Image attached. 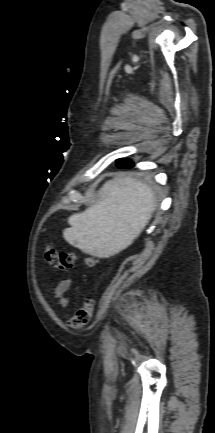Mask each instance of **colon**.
<instances>
[{"mask_svg": "<svg viewBox=\"0 0 215 433\" xmlns=\"http://www.w3.org/2000/svg\"><path fill=\"white\" fill-rule=\"evenodd\" d=\"M47 263L59 270H70L73 268L76 255L73 252L59 251L52 246H47L44 251ZM92 259L87 261V264H92ZM95 306V300L92 296H85L80 308L70 318L69 325L73 329H79L87 325L92 316Z\"/></svg>", "mask_w": 215, "mask_h": 433, "instance_id": "5ec220e1", "label": "colon"}]
</instances>
